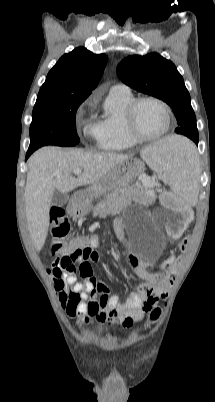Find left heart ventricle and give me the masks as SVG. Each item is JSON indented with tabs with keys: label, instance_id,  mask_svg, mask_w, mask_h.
Returning a JSON list of instances; mask_svg holds the SVG:
<instances>
[{
	"label": "left heart ventricle",
	"instance_id": "obj_1",
	"mask_svg": "<svg viewBox=\"0 0 215 402\" xmlns=\"http://www.w3.org/2000/svg\"><path fill=\"white\" fill-rule=\"evenodd\" d=\"M138 130L145 135H156L167 125V117L161 106L154 102H143L136 115Z\"/></svg>",
	"mask_w": 215,
	"mask_h": 402
}]
</instances>
